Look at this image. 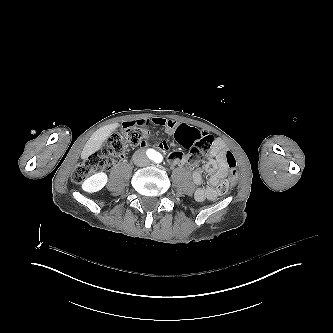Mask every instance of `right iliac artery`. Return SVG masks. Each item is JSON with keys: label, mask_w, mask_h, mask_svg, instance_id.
Masks as SVG:
<instances>
[{"label": "right iliac artery", "mask_w": 333, "mask_h": 333, "mask_svg": "<svg viewBox=\"0 0 333 333\" xmlns=\"http://www.w3.org/2000/svg\"><path fill=\"white\" fill-rule=\"evenodd\" d=\"M154 154H155V151L152 150V149H150V150H149V155H148L149 158H151V159L154 158Z\"/></svg>", "instance_id": "right-iliac-artery-1"}]
</instances>
